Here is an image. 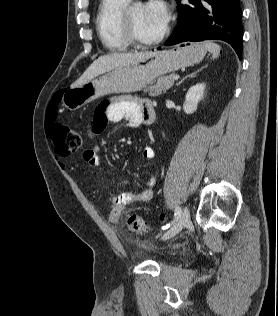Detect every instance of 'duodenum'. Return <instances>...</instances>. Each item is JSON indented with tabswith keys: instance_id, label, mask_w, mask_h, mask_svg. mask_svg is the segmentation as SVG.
I'll use <instances>...</instances> for the list:
<instances>
[{
	"instance_id": "1",
	"label": "duodenum",
	"mask_w": 278,
	"mask_h": 316,
	"mask_svg": "<svg viewBox=\"0 0 278 316\" xmlns=\"http://www.w3.org/2000/svg\"><path fill=\"white\" fill-rule=\"evenodd\" d=\"M156 118V113L154 111L153 108H149L146 112H145V116H144V122L147 124H151L155 121Z\"/></svg>"
}]
</instances>
